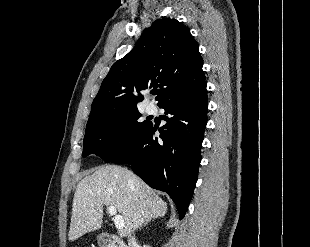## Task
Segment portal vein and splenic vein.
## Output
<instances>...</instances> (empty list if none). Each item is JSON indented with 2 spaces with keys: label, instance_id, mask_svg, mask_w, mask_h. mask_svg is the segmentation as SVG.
Here are the masks:
<instances>
[{
  "label": "portal vein and splenic vein",
  "instance_id": "1",
  "mask_svg": "<svg viewBox=\"0 0 310 247\" xmlns=\"http://www.w3.org/2000/svg\"><path fill=\"white\" fill-rule=\"evenodd\" d=\"M108 213L110 216H113L114 224L116 228L122 230L124 228V221L121 215L117 214V209L115 206H109L108 207Z\"/></svg>",
  "mask_w": 310,
  "mask_h": 247
}]
</instances>
